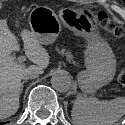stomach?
I'll use <instances>...</instances> for the list:
<instances>
[{"instance_id": "0dacf381", "label": "stomach", "mask_w": 125, "mask_h": 125, "mask_svg": "<svg viewBox=\"0 0 125 125\" xmlns=\"http://www.w3.org/2000/svg\"><path fill=\"white\" fill-rule=\"evenodd\" d=\"M82 14L65 8L57 15L46 6H38L29 15V25L31 33L41 45L53 43L61 32L62 25L87 41L84 51L86 70L80 72L78 80L83 92L94 93L113 80L116 59L109 44L99 36L93 21L87 16L82 17Z\"/></svg>"}]
</instances>
